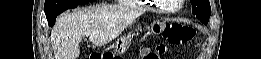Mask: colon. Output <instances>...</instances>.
I'll return each mask as SVG.
<instances>
[{
	"instance_id": "colon-1",
	"label": "colon",
	"mask_w": 261,
	"mask_h": 59,
	"mask_svg": "<svg viewBox=\"0 0 261 59\" xmlns=\"http://www.w3.org/2000/svg\"><path fill=\"white\" fill-rule=\"evenodd\" d=\"M151 30L155 34H161L162 38L172 45H184L189 43L195 36V30L187 25L178 23H160L154 22ZM166 51L164 44L156 46L155 50H146L142 54V59H159ZM89 59H116L112 52L99 53L92 52Z\"/></svg>"
}]
</instances>
